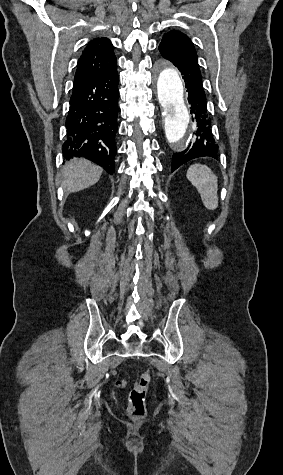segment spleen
<instances>
[{
    "label": "spleen",
    "mask_w": 283,
    "mask_h": 475,
    "mask_svg": "<svg viewBox=\"0 0 283 475\" xmlns=\"http://www.w3.org/2000/svg\"><path fill=\"white\" fill-rule=\"evenodd\" d=\"M187 180L197 188L207 210L218 208V180L210 168L201 166V164L190 166L187 172Z\"/></svg>",
    "instance_id": "1"
}]
</instances>
